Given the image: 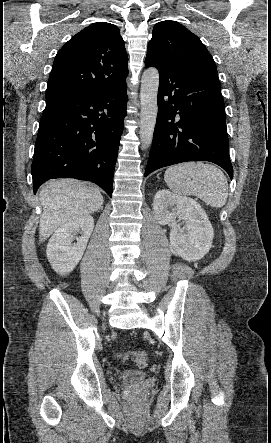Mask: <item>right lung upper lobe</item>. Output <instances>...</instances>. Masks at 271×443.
I'll return each instance as SVG.
<instances>
[{
  "instance_id": "cb5924a9",
  "label": "right lung upper lobe",
  "mask_w": 271,
  "mask_h": 443,
  "mask_svg": "<svg viewBox=\"0 0 271 443\" xmlns=\"http://www.w3.org/2000/svg\"><path fill=\"white\" fill-rule=\"evenodd\" d=\"M128 56L117 26L91 24L57 53L48 80L46 103L126 84Z\"/></svg>"
}]
</instances>
